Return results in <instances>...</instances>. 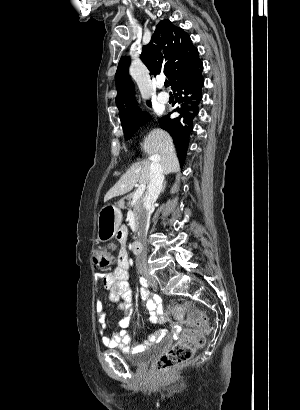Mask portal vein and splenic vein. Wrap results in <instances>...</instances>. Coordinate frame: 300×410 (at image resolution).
Masks as SVG:
<instances>
[{
  "instance_id": "1",
  "label": "portal vein and splenic vein",
  "mask_w": 300,
  "mask_h": 410,
  "mask_svg": "<svg viewBox=\"0 0 300 410\" xmlns=\"http://www.w3.org/2000/svg\"><path fill=\"white\" fill-rule=\"evenodd\" d=\"M146 188V185L141 184L137 190L135 191L134 195H133V200H132V204H134L144 193Z\"/></svg>"
}]
</instances>
